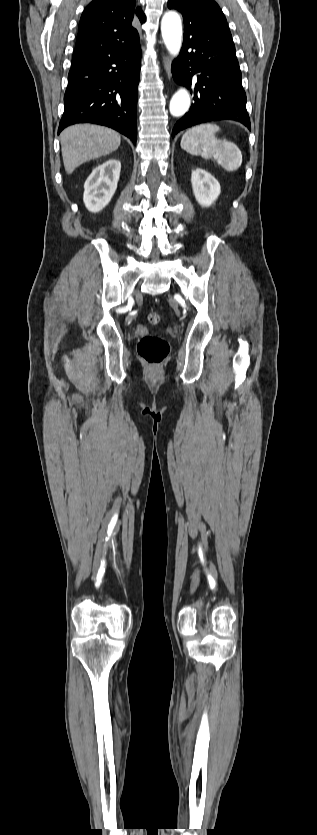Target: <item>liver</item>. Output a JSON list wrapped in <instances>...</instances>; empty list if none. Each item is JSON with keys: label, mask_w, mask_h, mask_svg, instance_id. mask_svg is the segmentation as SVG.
I'll return each instance as SVG.
<instances>
[{"label": "liver", "mask_w": 317, "mask_h": 835, "mask_svg": "<svg viewBox=\"0 0 317 835\" xmlns=\"http://www.w3.org/2000/svg\"><path fill=\"white\" fill-rule=\"evenodd\" d=\"M60 143L65 171L71 174L82 163L114 152L121 137L107 127L78 124L62 131Z\"/></svg>", "instance_id": "obj_1"}]
</instances>
